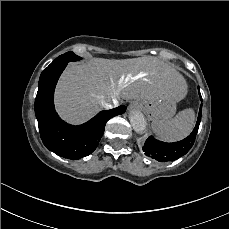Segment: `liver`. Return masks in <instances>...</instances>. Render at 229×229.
Returning a JSON list of instances; mask_svg holds the SVG:
<instances>
[{"label": "liver", "mask_w": 229, "mask_h": 229, "mask_svg": "<svg viewBox=\"0 0 229 229\" xmlns=\"http://www.w3.org/2000/svg\"><path fill=\"white\" fill-rule=\"evenodd\" d=\"M187 83L171 64L154 56L132 59L91 58L70 63L55 91L59 115L82 123L100 111L104 101L136 100L176 103L187 94Z\"/></svg>", "instance_id": "6515ba94"}]
</instances>
